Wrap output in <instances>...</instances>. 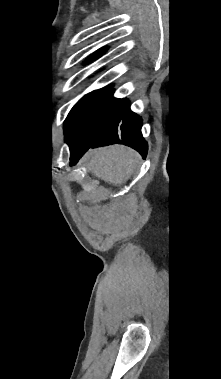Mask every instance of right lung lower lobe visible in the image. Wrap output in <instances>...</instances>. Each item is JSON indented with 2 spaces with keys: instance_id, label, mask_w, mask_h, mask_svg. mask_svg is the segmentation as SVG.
<instances>
[{
  "instance_id": "right-lung-lower-lobe-1",
  "label": "right lung lower lobe",
  "mask_w": 221,
  "mask_h": 379,
  "mask_svg": "<svg viewBox=\"0 0 221 379\" xmlns=\"http://www.w3.org/2000/svg\"><path fill=\"white\" fill-rule=\"evenodd\" d=\"M141 125V118L130 111L129 101L123 100L119 103L113 118L94 141L68 143L71 165L76 164L89 148L114 143L128 145L136 149L145 158L148 146L142 137Z\"/></svg>"
}]
</instances>
